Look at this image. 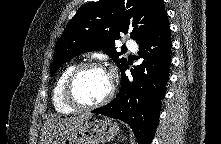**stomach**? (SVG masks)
Returning <instances> with one entry per match:
<instances>
[{
	"label": "stomach",
	"mask_w": 221,
	"mask_h": 144,
	"mask_svg": "<svg viewBox=\"0 0 221 144\" xmlns=\"http://www.w3.org/2000/svg\"><path fill=\"white\" fill-rule=\"evenodd\" d=\"M119 132V126L110 119H94L56 133L46 144H104Z\"/></svg>",
	"instance_id": "obj_1"
}]
</instances>
